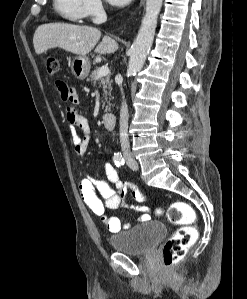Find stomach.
<instances>
[{"label": "stomach", "instance_id": "0dacf381", "mask_svg": "<svg viewBox=\"0 0 247 299\" xmlns=\"http://www.w3.org/2000/svg\"><path fill=\"white\" fill-rule=\"evenodd\" d=\"M91 68V63L86 56H76L71 62V71L73 75L80 80L85 79Z\"/></svg>", "mask_w": 247, "mask_h": 299}]
</instances>
